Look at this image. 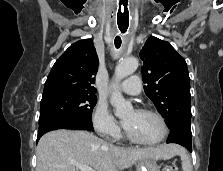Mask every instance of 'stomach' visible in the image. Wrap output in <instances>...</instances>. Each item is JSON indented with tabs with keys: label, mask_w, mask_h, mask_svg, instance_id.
<instances>
[{
	"label": "stomach",
	"mask_w": 223,
	"mask_h": 171,
	"mask_svg": "<svg viewBox=\"0 0 223 171\" xmlns=\"http://www.w3.org/2000/svg\"><path fill=\"white\" fill-rule=\"evenodd\" d=\"M137 171H160V168L154 159L147 158L138 162Z\"/></svg>",
	"instance_id": "obj_1"
}]
</instances>
